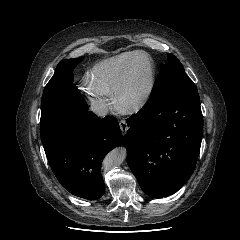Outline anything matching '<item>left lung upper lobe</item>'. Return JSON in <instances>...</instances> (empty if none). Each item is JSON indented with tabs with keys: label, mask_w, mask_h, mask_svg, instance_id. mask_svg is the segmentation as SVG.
<instances>
[{
	"label": "left lung upper lobe",
	"mask_w": 240,
	"mask_h": 240,
	"mask_svg": "<svg viewBox=\"0 0 240 240\" xmlns=\"http://www.w3.org/2000/svg\"><path fill=\"white\" fill-rule=\"evenodd\" d=\"M168 61L161 68L152 89L150 99L175 90L197 91L196 85L185 73L183 65L173 54H168Z\"/></svg>",
	"instance_id": "obj_1"
}]
</instances>
